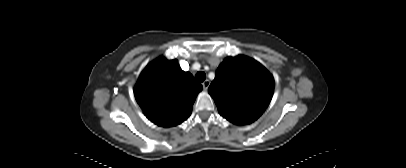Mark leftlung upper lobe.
<instances>
[{
  "mask_svg": "<svg viewBox=\"0 0 406 168\" xmlns=\"http://www.w3.org/2000/svg\"><path fill=\"white\" fill-rule=\"evenodd\" d=\"M208 91L221 116L244 125L254 122L269 105L274 79L259 62L238 55L225 58Z\"/></svg>",
  "mask_w": 406,
  "mask_h": 168,
  "instance_id": "1",
  "label": "left lung upper lobe"
}]
</instances>
